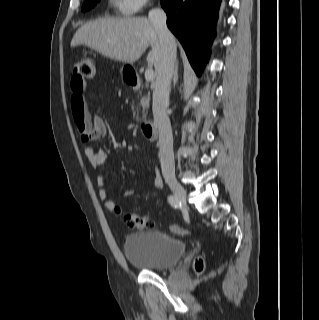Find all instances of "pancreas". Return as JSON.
Listing matches in <instances>:
<instances>
[{
    "label": "pancreas",
    "instance_id": "pancreas-1",
    "mask_svg": "<svg viewBox=\"0 0 319 320\" xmlns=\"http://www.w3.org/2000/svg\"><path fill=\"white\" fill-rule=\"evenodd\" d=\"M138 99L140 100V106L142 107L143 117H145L146 111L149 108L150 96L148 94L141 98L138 97Z\"/></svg>",
    "mask_w": 319,
    "mask_h": 320
}]
</instances>
